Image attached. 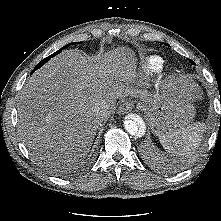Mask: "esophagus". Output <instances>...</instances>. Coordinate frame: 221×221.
<instances>
[{"mask_svg": "<svg viewBox=\"0 0 221 221\" xmlns=\"http://www.w3.org/2000/svg\"><path fill=\"white\" fill-rule=\"evenodd\" d=\"M133 104L131 102H125L118 108V114L123 115L129 113L132 110Z\"/></svg>", "mask_w": 221, "mask_h": 221, "instance_id": "esophagus-1", "label": "esophagus"}]
</instances>
